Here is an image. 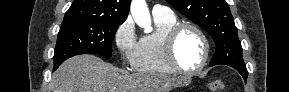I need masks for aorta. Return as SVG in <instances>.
Returning <instances> with one entry per match:
<instances>
[{"label":"aorta","mask_w":289,"mask_h":92,"mask_svg":"<svg viewBox=\"0 0 289 92\" xmlns=\"http://www.w3.org/2000/svg\"><path fill=\"white\" fill-rule=\"evenodd\" d=\"M134 21L147 32L151 31V18L145 0H133L130 8Z\"/></svg>","instance_id":"762f6f07"}]
</instances>
